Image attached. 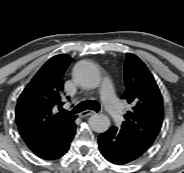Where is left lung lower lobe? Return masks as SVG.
<instances>
[{"label": "left lung lower lobe", "mask_w": 184, "mask_h": 173, "mask_svg": "<svg viewBox=\"0 0 184 173\" xmlns=\"http://www.w3.org/2000/svg\"><path fill=\"white\" fill-rule=\"evenodd\" d=\"M101 154L113 164L123 165L141 157L146 151L138 146L125 132L110 127L98 138Z\"/></svg>", "instance_id": "obj_1"}]
</instances>
